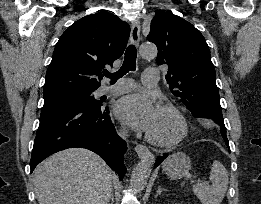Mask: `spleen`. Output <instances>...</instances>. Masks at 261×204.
I'll list each match as a JSON object with an SVG mask.
<instances>
[{
    "label": "spleen",
    "instance_id": "1",
    "mask_svg": "<svg viewBox=\"0 0 261 204\" xmlns=\"http://www.w3.org/2000/svg\"><path fill=\"white\" fill-rule=\"evenodd\" d=\"M209 179L211 185L198 183L193 192L202 204H220L227 191L229 177L227 169L219 161H214Z\"/></svg>",
    "mask_w": 261,
    "mask_h": 204
}]
</instances>
